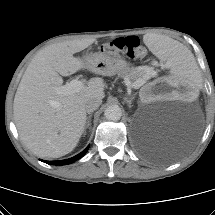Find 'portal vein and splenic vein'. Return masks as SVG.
I'll return each mask as SVG.
<instances>
[{
    "instance_id": "obj_1",
    "label": "portal vein and splenic vein",
    "mask_w": 215,
    "mask_h": 215,
    "mask_svg": "<svg viewBox=\"0 0 215 215\" xmlns=\"http://www.w3.org/2000/svg\"><path fill=\"white\" fill-rule=\"evenodd\" d=\"M153 75H155V73H153ZM144 83H145L144 79H139L135 82L136 85L134 86V88L137 89L141 87ZM83 87H84V83L81 80L76 78L70 81L69 83H66L63 86L57 87L56 90H57V93L59 94L67 95V94L79 92Z\"/></svg>"
}]
</instances>
